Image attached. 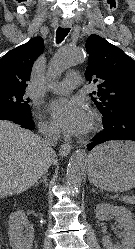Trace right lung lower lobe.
I'll list each match as a JSON object with an SVG mask.
<instances>
[{
    "mask_svg": "<svg viewBox=\"0 0 135 249\" xmlns=\"http://www.w3.org/2000/svg\"><path fill=\"white\" fill-rule=\"evenodd\" d=\"M0 120H10L21 125L23 128L34 130L31 113L13 105L0 104Z\"/></svg>",
    "mask_w": 135,
    "mask_h": 249,
    "instance_id": "obj_1",
    "label": "right lung lower lobe"
}]
</instances>
